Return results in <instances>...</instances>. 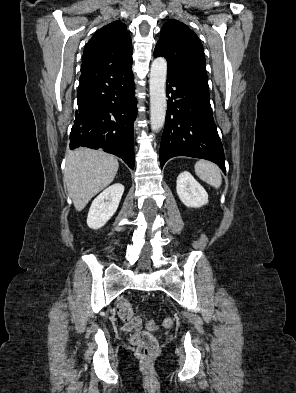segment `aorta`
Here are the masks:
<instances>
[{
  "instance_id": "1",
  "label": "aorta",
  "mask_w": 296,
  "mask_h": 393,
  "mask_svg": "<svg viewBox=\"0 0 296 393\" xmlns=\"http://www.w3.org/2000/svg\"><path fill=\"white\" fill-rule=\"evenodd\" d=\"M167 61L164 57H157L151 65L150 90V125L154 132H158L165 123Z\"/></svg>"
}]
</instances>
